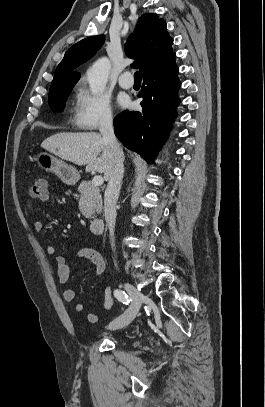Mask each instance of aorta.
I'll use <instances>...</instances> for the list:
<instances>
[{"label": "aorta", "instance_id": "762f6f07", "mask_svg": "<svg viewBox=\"0 0 265 407\" xmlns=\"http://www.w3.org/2000/svg\"><path fill=\"white\" fill-rule=\"evenodd\" d=\"M110 69L111 63L106 57L98 59L88 69L87 79L92 93H99L104 89L108 81Z\"/></svg>", "mask_w": 265, "mask_h": 407}]
</instances>
